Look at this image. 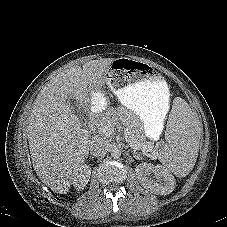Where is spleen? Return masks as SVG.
<instances>
[{
	"instance_id": "obj_1",
	"label": "spleen",
	"mask_w": 227,
	"mask_h": 227,
	"mask_svg": "<svg viewBox=\"0 0 227 227\" xmlns=\"http://www.w3.org/2000/svg\"><path fill=\"white\" fill-rule=\"evenodd\" d=\"M166 144L160 151V158L166 168L177 177H185L194 168L201 129L192 116V106L185 99H178L171 106Z\"/></svg>"
}]
</instances>
